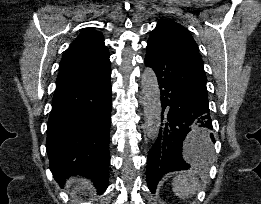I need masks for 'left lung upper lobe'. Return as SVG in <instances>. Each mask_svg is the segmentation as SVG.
Wrapping results in <instances>:
<instances>
[{
    "label": "left lung upper lobe",
    "mask_w": 261,
    "mask_h": 204,
    "mask_svg": "<svg viewBox=\"0 0 261 204\" xmlns=\"http://www.w3.org/2000/svg\"><path fill=\"white\" fill-rule=\"evenodd\" d=\"M150 37L172 40L173 42L185 47L203 63L199 55L197 44L189 31L184 26L174 21H159L156 28L151 32Z\"/></svg>",
    "instance_id": "left-lung-upper-lobe-1"
}]
</instances>
